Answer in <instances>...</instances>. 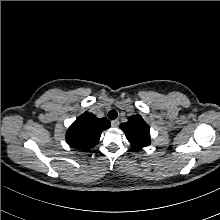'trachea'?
<instances>
[{"label": "trachea", "mask_w": 220, "mask_h": 220, "mask_svg": "<svg viewBox=\"0 0 220 220\" xmlns=\"http://www.w3.org/2000/svg\"><path fill=\"white\" fill-rule=\"evenodd\" d=\"M117 116H118V113H117L116 110H110V111L108 112V118H109L110 120L116 119Z\"/></svg>", "instance_id": "obj_1"}]
</instances>
